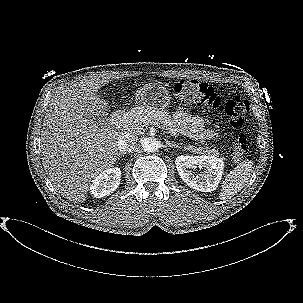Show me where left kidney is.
Listing matches in <instances>:
<instances>
[{"instance_id":"left-kidney-1","label":"left kidney","mask_w":303,"mask_h":303,"mask_svg":"<svg viewBox=\"0 0 303 303\" xmlns=\"http://www.w3.org/2000/svg\"><path fill=\"white\" fill-rule=\"evenodd\" d=\"M177 171L181 179L191 188L201 192L216 190L221 180L224 164L219 158L213 156H188L181 155L175 161ZM205 168L202 175H198L191 169Z\"/></svg>"}]
</instances>
